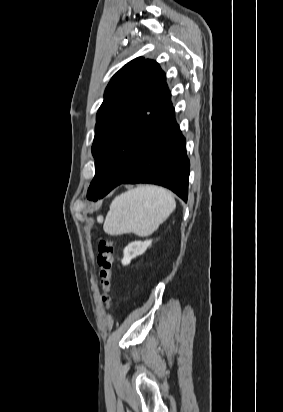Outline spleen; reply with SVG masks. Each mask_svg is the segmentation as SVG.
I'll list each match as a JSON object with an SVG mask.
<instances>
[{"label":"spleen","mask_w":283,"mask_h":412,"mask_svg":"<svg viewBox=\"0 0 283 412\" xmlns=\"http://www.w3.org/2000/svg\"><path fill=\"white\" fill-rule=\"evenodd\" d=\"M176 207L173 195L157 186H139L117 196L110 205L103 229L109 235H151Z\"/></svg>","instance_id":"1"}]
</instances>
